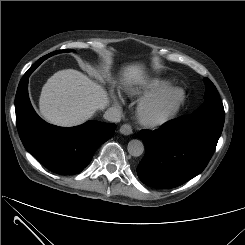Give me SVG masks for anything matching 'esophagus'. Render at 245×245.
<instances>
[{"mask_svg":"<svg viewBox=\"0 0 245 245\" xmlns=\"http://www.w3.org/2000/svg\"><path fill=\"white\" fill-rule=\"evenodd\" d=\"M120 133L123 135H130L133 133L132 127L129 124H123L120 129Z\"/></svg>","mask_w":245,"mask_h":245,"instance_id":"esophagus-1","label":"esophagus"}]
</instances>
